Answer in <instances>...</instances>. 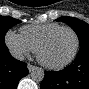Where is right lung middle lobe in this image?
Listing matches in <instances>:
<instances>
[{
    "label": "right lung middle lobe",
    "instance_id": "right-lung-middle-lobe-1",
    "mask_svg": "<svg viewBox=\"0 0 89 89\" xmlns=\"http://www.w3.org/2000/svg\"><path fill=\"white\" fill-rule=\"evenodd\" d=\"M20 20L14 19L9 16H0V47L4 46V37L6 32L14 25L20 23Z\"/></svg>",
    "mask_w": 89,
    "mask_h": 89
}]
</instances>
